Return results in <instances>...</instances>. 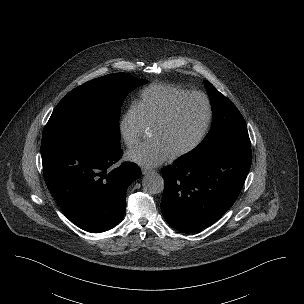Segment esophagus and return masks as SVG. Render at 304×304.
<instances>
[{
	"label": "esophagus",
	"mask_w": 304,
	"mask_h": 304,
	"mask_svg": "<svg viewBox=\"0 0 304 304\" xmlns=\"http://www.w3.org/2000/svg\"><path fill=\"white\" fill-rule=\"evenodd\" d=\"M153 170L149 168H141V172L143 175L151 173Z\"/></svg>",
	"instance_id": "34e87169"
}]
</instances>
